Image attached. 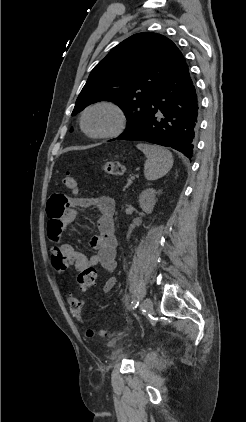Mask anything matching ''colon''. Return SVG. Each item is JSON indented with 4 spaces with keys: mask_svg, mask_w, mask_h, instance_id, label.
I'll use <instances>...</instances> for the list:
<instances>
[{
    "mask_svg": "<svg viewBox=\"0 0 246 422\" xmlns=\"http://www.w3.org/2000/svg\"><path fill=\"white\" fill-rule=\"evenodd\" d=\"M103 171L111 175H121L124 172V167L119 162H108L104 165ZM63 184L68 190L72 192L77 191V179L71 173L67 172L64 175ZM51 261L53 267L60 272L65 271L69 265L66 257L57 248H54L51 252ZM96 277L97 272L95 267H87L79 271L77 274V284L79 290L86 291L89 289L95 283ZM68 303L72 316L79 321H84L83 306L81 301L76 297H69ZM95 333V330L92 328L87 330V335L90 337L94 336ZM100 334L103 335L104 332L101 331Z\"/></svg>",
    "mask_w": 246,
    "mask_h": 422,
    "instance_id": "1",
    "label": "colon"
}]
</instances>
